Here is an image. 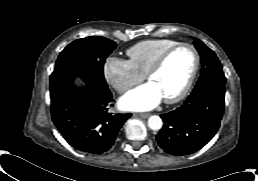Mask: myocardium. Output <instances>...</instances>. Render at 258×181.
Listing matches in <instances>:
<instances>
[{
	"instance_id": "obj_1",
	"label": "myocardium",
	"mask_w": 258,
	"mask_h": 181,
	"mask_svg": "<svg viewBox=\"0 0 258 181\" xmlns=\"http://www.w3.org/2000/svg\"><path fill=\"white\" fill-rule=\"evenodd\" d=\"M182 47H188L192 50V52L194 54V67H193L192 73H191L186 85L184 86V88L176 96L170 97V98H164V102L167 103V104H175V103L180 102L190 92V90H191V88H192V86L195 82V79L197 77V74L199 72V68H200V55H199V52L196 49V47L193 44L187 43V42H179V43L173 45L172 47L165 50L157 58V60L154 62V64L151 66V68L149 69V71L146 74L147 80L150 81V79L162 69V67L164 66V64L168 60V58L174 52H176L178 49H180Z\"/></svg>"
}]
</instances>
